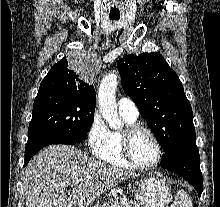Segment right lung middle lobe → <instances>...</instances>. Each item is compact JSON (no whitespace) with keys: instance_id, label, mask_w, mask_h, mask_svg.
<instances>
[{"instance_id":"obj_1","label":"right lung middle lobe","mask_w":220,"mask_h":207,"mask_svg":"<svg viewBox=\"0 0 220 207\" xmlns=\"http://www.w3.org/2000/svg\"><path fill=\"white\" fill-rule=\"evenodd\" d=\"M95 99L72 92L38 91L28 144L39 140L84 139L94 120Z\"/></svg>"}]
</instances>
